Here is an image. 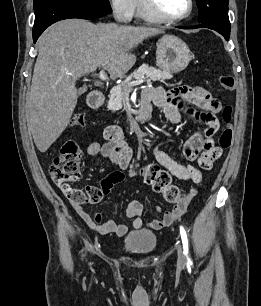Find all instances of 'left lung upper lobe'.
<instances>
[{
	"mask_svg": "<svg viewBox=\"0 0 261 306\" xmlns=\"http://www.w3.org/2000/svg\"><path fill=\"white\" fill-rule=\"evenodd\" d=\"M199 8V22L224 30L230 29L228 17L229 0H196Z\"/></svg>",
	"mask_w": 261,
	"mask_h": 306,
	"instance_id": "5c2ea615",
	"label": "left lung upper lobe"
}]
</instances>
